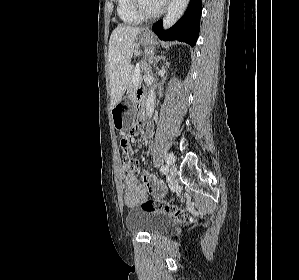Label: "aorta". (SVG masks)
<instances>
[{
    "instance_id": "obj_1",
    "label": "aorta",
    "mask_w": 299,
    "mask_h": 280,
    "mask_svg": "<svg viewBox=\"0 0 299 280\" xmlns=\"http://www.w3.org/2000/svg\"><path fill=\"white\" fill-rule=\"evenodd\" d=\"M190 0H172L168 10L167 14L163 19V27L164 29H168L171 26H173L178 19L183 15L185 12L187 5ZM155 100H156V94H155V88L150 87L146 99V114L148 117H152L155 107Z\"/></svg>"
}]
</instances>
